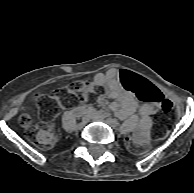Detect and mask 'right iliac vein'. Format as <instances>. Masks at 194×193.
Masks as SVG:
<instances>
[{
	"mask_svg": "<svg viewBox=\"0 0 194 193\" xmlns=\"http://www.w3.org/2000/svg\"><path fill=\"white\" fill-rule=\"evenodd\" d=\"M86 124H87V121L80 122V123L77 125V128H78V129H83V128L85 127Z\"/></svg>",
	"mask_w": 194,
	"mask_h": 193,
	"instance_id": "1",
	"label": "right iliac vein"
}]
</instances>
